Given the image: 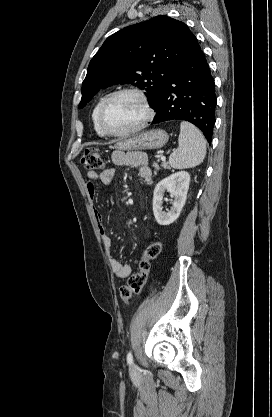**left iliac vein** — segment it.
<instances>
[{"instance_id":"obj_1","label":"left iliac vein","mask_w":272,"mask_h":417,"mask_svg":"<svg viewBox=\"0 0 272 417\" xmlns=\"http://www.w3.org/2000/svg\"><path fill=\"white\" fill-rule=\"evenodd\" d=\"M137 370V366L135 365V364H133L132 366H131V371L132 372H134V371H136Z\"/></svg>"}]
</instances>
